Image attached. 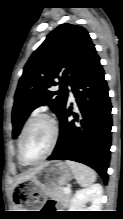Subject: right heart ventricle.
Wrapping results in <instances>:
<instances>
[{
  "label": "right heart ventricle",
  "mask_w": 123,
  "mask_h": 219,
  "mask_svg": "<svg viewBox=\"0 0 123 219\" xmlns=\"http://www.w3.org/2000/svg\"><path fill=\"white\" fill-rule=\"evenodd\" d=\"M18 159H19V162H20L21 165L26 166V165L20 160L19 155H18Z\"/></svg>",
  "instance_id": "obj_1"
}]
</instances>
